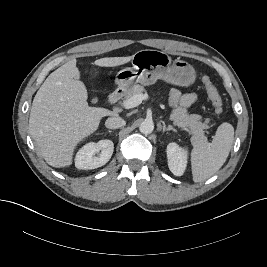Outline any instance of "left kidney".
<instances>
[{
    "mask_svg": "<svg viewBox=\"0 0 267 267\" xmlns=\"http://www.w3.org/2000/svg\"><path fill=\"white\" fill-rule=\"evenodd\" d=\"M168 167L175 176L183 175L187 166V154L176 143L167 146Z\"/></svg>",
    "mask_w": 267,
    "mask_h": 267,
    "instance_id": "obj_1",
    "label": "left kidney"
}]
</instances>
